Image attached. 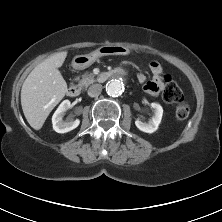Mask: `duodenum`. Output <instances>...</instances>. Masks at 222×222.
<instances>
[{
    "instance_id": "1",
    "label": "duodenum",
    "mask_w": 222,
    "mask_h": 222,
    "mask_svg": "<svg viewBox=\"0 0 222 222\" xmlns=\"http://www.w3.org/2000/svg\"><path fill=\"white\" fill-rule=\"evenodd\" d=\"M123 72H124L123 70H117L115 72H104L99 75V80L105 81L113 77L115 74H122ZM67 93L70 97H77L80 93V90L77 86L73 85L68 88Z\"/></svg>"
}]
</instances>
